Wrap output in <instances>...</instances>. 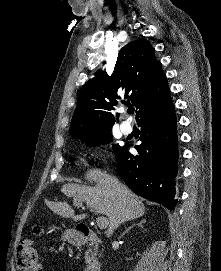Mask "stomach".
<instances>
[{"label": "stomach", "mask_w": 221, "mask_h": 271, "mask_svg": "<svg viewBox=\"0 0 221 271\" xmlns=\"http://www.w3.org/2000/svg\"><path fill=\"white\" fill-rule=\"evenodd\" d=\"M63 238H81L82 234L78 230H65L62 234Z\"/></svg>", "instance_id": "0dacf381"}]
</instances>
